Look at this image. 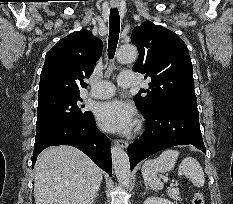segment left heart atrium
Listing matches in <instances>:
<instances>
[{"label": "left heart atrium", "instance_id": "obj_1", "mask_svg": "<svg viewBox=\"0 0 233 204\" xmlns=\"http://www.w3.org/2000/svg\"><path fill=\"white\" fill-rule=\"evenodd\" d=\"M99 126L109 132L123 133L134 124L135 110L132 105L118 100L101 103L96 111Z\"/></svg>", "mask_w": 233, "mask_h": 204}]
</instances>
